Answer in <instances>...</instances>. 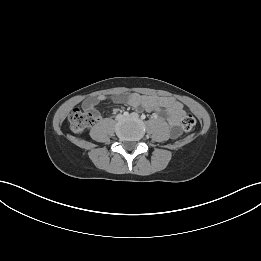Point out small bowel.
<instances>
[{
	"label": "small bowel",
	"mask_w": 261,
	"mask_h": 261,
	"mask_svg": "<svg viewBox=\"0 0 261 261\" xmlns=\"http://www.w3.org/2000/svg\"><path fill=\"white\" fill-rule=\"evenodd\" d=\"M110 99L114 103L125 104L136 108L137 110H144L163 117L171 127V134L173 137L179 135V127L184 116V108L181 103L170 97L124 94L116 96L98 95L87 98L82 103V108L86 112H90L94 116L95 121L101 120V114L97 110V105Z\"/></svg>",
	"instance_id": "small-bowel-1"
}]
</instances>
